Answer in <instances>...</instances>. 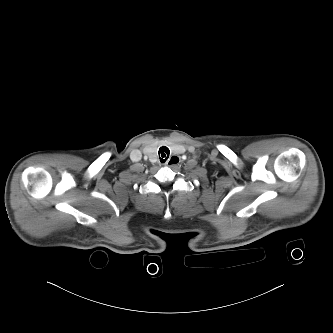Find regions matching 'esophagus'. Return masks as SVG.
<instances>
[{"label":"esophagus","instance_id":"34e87169","mask_svg":"<svg viewBox=\"0 0 333 333\" xmlns=\"http://www.w3.org/2000/svg\"><path fill=\"white\" fill-rule=\"evenodd\" d=\"M178 162H179V158L177 155H172L166 162H165V165L166 166H169V167H172V166H175V165H178Z\"/></svg>","mask_w":333,"mask_h":333}]
</instances>
